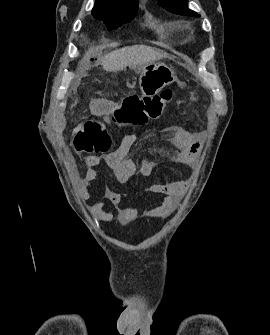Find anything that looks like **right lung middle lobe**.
Segmentation results:
<instances>
[{
	"instance_id": "1",
	"label": "right lung middle lobe",
	"mask_w": 270,
	"mask_h": 335,
	"mask_svg": "<svg viewBox=\"0 0 270 335\" xmlns=\"http://www.w3.org/2000/svg\"><path fill=\"white\" fill-rule=\"evenodd\" d=\"M137 10L138 5H125L109 8L95 5L92 10V15L95 19L103 21L108 30H113L134 19Z\"/></svg>"
}]
</instances>
